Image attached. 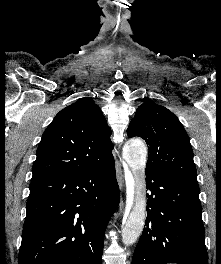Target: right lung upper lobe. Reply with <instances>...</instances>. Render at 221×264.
I'll return each instance as SVG.
<instances>
[{
  "label": "right lung upper lobe",
  "instance_id": "cb5924a9",
  "mask_svg": "<svg viewBox=\"0 0 221 264\" xmlns=\"http://www.w3.org/2000/svg\"><path fill=\"white\" fill-rule=\"evenodd\" d=\"M111 129L99 106L82 98L61 110L42 135L32 179L89 169L112 155Z\"/></svg>",
  "mask_w": 221,
  "mask_h": 264
}]
</instances>
